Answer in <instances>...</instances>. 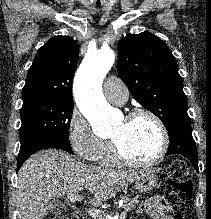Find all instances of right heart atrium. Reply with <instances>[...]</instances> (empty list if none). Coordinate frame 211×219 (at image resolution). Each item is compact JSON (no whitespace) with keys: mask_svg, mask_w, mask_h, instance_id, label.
Segmentation results:
<instances>
[{"mask_svg":"<svg viewBox=\"0 0 211 219\" xmlns=\"http://www.w3.org/2000/svg\"><path fill=\"white\" fill-rule=\"evenodd\" d=\"M68 139L73 151L83 160L97 162L110 143L95 134L90 123L73 111L68 123Z\"/></svg>","mask_w":211,"mask_h":219,"instance_id":"obj_1","label":"right heart atrium"}]
</instances>
